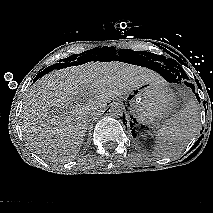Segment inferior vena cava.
Here are the masks:
<instances>
[{
	"mask_svg": "<svg viewBox=\"0 0 213 213\" xmlns=\"http://www.w3.org/2000/svg\"><path fill=\"white\" fill-rule=\"evenodd\" d=\"M91 118H96L98 116V113L97 112H91Z\"/></svg>",
	"mask_w": 213,
	"mask_h": 213,
	"instance_id": "inferior-vena-cava-1",
	"label": "inferior vena cava"
}]
</instances>
